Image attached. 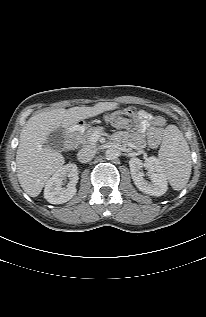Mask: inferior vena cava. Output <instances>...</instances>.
Here are the masks:
<instances>
[{
	"instance_id": "inferior-vena-cava-1",
	"label": "inferior vena cava",
	"mask_w": 206,
	"mask_h": 317,
	"mask_svg": "<svg viewBox=\"0 0 206 317\" xmlns=\"http://www.w3.org/2000/svg\"><path fill=\"white\" fill-rule=\"evenodd\" d=\"M96 154V150L93 149V148H90V147H85V148H82L78 154H77V158L80 162L82 163H87L89 162L90 160L93 159V157L95 156Z\"/></svg>"
}]
</instances>
